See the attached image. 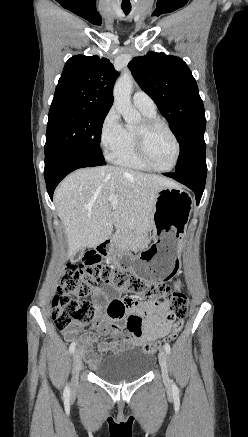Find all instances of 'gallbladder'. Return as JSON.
Masks as SVG:
<instances>
[{
    "label": "gallbladder",
    "mask_w": 248,
    "mask_h": 437,
    "mask_svg": "<svg viewBox=\"0 0 248 437\" xmlns=\"http://www.w3.org/2000/svg\"><path fill=\"white\" fill-rule=\"evenodd\" d=\"M83 252H84L83 249L79 250L77 253H75V254L72 256V260H73V261H78V260L81 258Z\"/></svg>",
    "instance_id": "bac80fb5"
}]
</instances>
